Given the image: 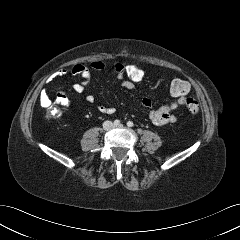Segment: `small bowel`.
Here are the masks:
<instances>
[{
  "label": "small bowel",
  "mask_w": 240,
  "mask_h": 240,
  "mask_svg": "<svg viewBox=\"0 0 240 240\" xmlns=\"http://www.w3.org/2000/svg\"><path fill=\"white\" fill-rule=\"evenodd\" d=\"M124 64L122 62H115L113 65V72L116 78L120 81L121 85L127 90H134L135 85L127 80L124 76L123 72ZM105 69V64L101 60H94L91 62L90 67L84 64H75L70 68H63L60 70V74L63 75H72V76H79L83 80L81 82L74 83L72 85V90L75 93H83L87 88L88 84L91 81V74L92 71L101 72ZM85 99L88 103H93L95 97L91 94L85 96ZM39 100L41 105L44 108L50 107L53 103H57L65 108H69L72 103L68 96L63 93L59 92L56 94L54 100H52L46 91H42L39 96ZM186 102V97H177L173 98L172 101L163 104L159 107H154L153 103L150 98L144 97L142 99V105L148 109L149 111V119L154 125L162 126L168 123H173L177 120V116L175 115V111ZM98 110L104 114H113L115 112L114 107L104 106L101 105L98 107Z\"/></svg>",
  "instance_id": "small-bowel-1"
}]
</instances>
